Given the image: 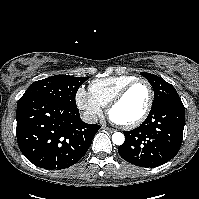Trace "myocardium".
<instances>
[{
  "label": "myocardium",
  "instance_id": "1",
  "mask_svg": "<svg viewBox=\"0 0 199 199\" xmlns=\"http://www.w3.org/2000/svg\"><path fill=\"white\" fill-rule=\"evenodd\" d=\"M138 83H144L148 87L149 94H148L147 105H146L143 113L137 119L130 121V122H126V123L117 122L120 127L125 128V129H131V128L137 127L138 125L143 123L146 120V118L148 117V115L152 109L153 100H154V91H153V87H152L151 83L147 79L136 78L133 81H131L130 83H128L125 87H123L119 91V93L112 99V101L107 105V113L110 116L112 109L117 104H119L124 99V97L128 93V91Z\"/></svg>",
  "mask_w": 199,
  "mask_h": 199
}]
</instances>
